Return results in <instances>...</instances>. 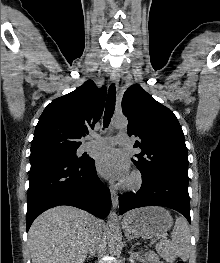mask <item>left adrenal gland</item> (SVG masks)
Wrapping results in <instances>:
<instances>
[{"instance_id": "1", "label": "left adrenal gland", "mask_w": 220, "mask_h": 263, "mask_svg": "<svg viewBox=\"0 0 220 263\" xmlns=\"http://www.w3.org/2000/svg\"><path fill=\"white\" fill-rule=\"evenodd\" d=\"M125 236H126V238H127L128 241H130L131 239H133V237L130 236L128 233H125Z\"/></svg>"}]
</instances>
